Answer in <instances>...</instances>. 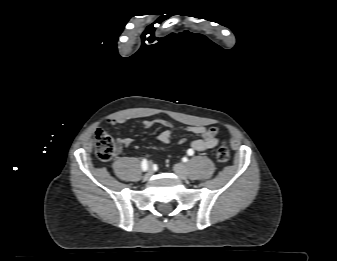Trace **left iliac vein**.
I'll return each instance as SVG.
<instances>
[{
  "label": "left iliac vein",
  "mask_w": 337,
  "mask_h": 261,
  "mask_svg": "<svg viewBox=\"0 0 337 261\" xmlns=\"http://www.w3.org/2000/svg\"><path fill=\"white\" fill-rule=\"evenodd\" d=\"M173 170L180 179H186L188 177V171L184 164H175Z\"/></svg>",
  "instance_id": "left-iliac-vein-1"
}]
</instances>
